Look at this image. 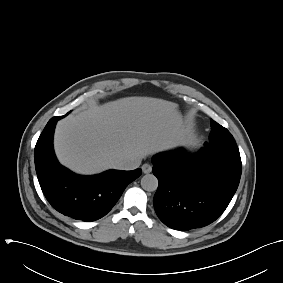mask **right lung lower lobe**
Segmentation results:
<instances>
[{
	"label": "right lung lower lobe",
	"mask_w": 283,
	"mask_h": 283,
	"mask_svg": "<svg viewBox=\"0 0 283 283\" xmlns=\"http://www.w3.org/2000/svg\"><path fill=\"white\" fill-rule=\"evenodd\" d=\"M49 120L35 146V168L42 192L54 209L82 221L105 216L116 204L124 189L141 175L133 171L109 170L99 175L80 176L59 164L53 150L57 121Z\"/></svg>",
	"instance_id": "1"
}]
</instances>
